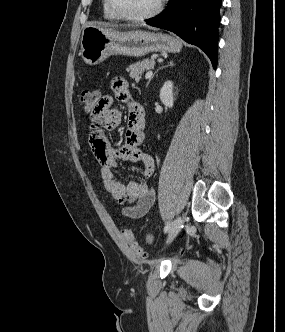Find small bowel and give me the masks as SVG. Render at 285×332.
<instances>
[{
  "label": "small bowel",
  "mask_w": 285,
  "mask_h": 332,
  "mask_svg": "<svg viewBox=\"0 0 285 332\" xmlns=\"http://www.w3.org/2000/svg\"><path fill=\"white\" fill-rule=\"evenodd\" d=\"M111 89L123 102L129 99L128 83L124 77L117 76L111 81ZM116 107V100L111 96H98L91 111H88L89 140L91 148L101 164V178L108 196L122 204H128L123 214L131 219L143 217L152 207L155 195L146 181H129L123 183L115 175L117 161H129L142 168L145 179L153 176L155 162L151 154L144 152L140 146L144 142L145 121L141 108L130 104L128 127L125 132V144L115 147L107 140L101 130H112L121 122V112Z\"/></svg>",
  "instance_id": "small-bowel-1"
}]
</instances>
